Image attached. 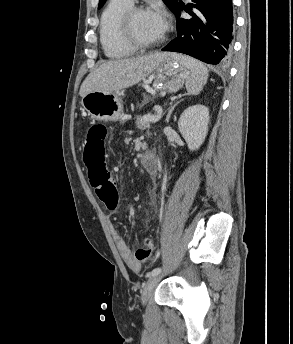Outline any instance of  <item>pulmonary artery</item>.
I'll return each instance as SVG.
<instances>
[{
  "label": "pulmonary artery",
  "instance_id": "pulmonary-artery-1",
  "mask_svg": "<svg viewBox=\"0 0 293 344\" xmlns=\"http://www.w3.org/2000/svg\"><path fill=\"white\" fill-rule=\"evenodd\" d=\"M126 1L132 2L133 0H126Z\"/></svg>",
  "mask_w": 293,
  "mask_h": 344
}]
</instances>
